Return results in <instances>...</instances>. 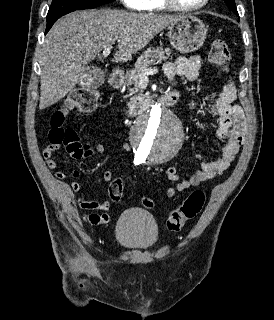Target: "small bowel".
I'll use <instances>...</instances> for the list:
<instances>
[{
    "mask_svg": "<svg viewBox=\"0 0 274 320\" xmlns=\"http://www.w3.org/2000/svg\"><path fill=\"white\" fill-rule=\"evenodd\" d=\"M200 57L193 55L190 57H179L174 62H169L164 66V72L167 78L172 81L176 76L185 77L188 81L194 82L198 79L200 73ZM237 90L232 78H228L223 84L221 90L214 98L210 112L216 116L219 121V127L216 134L209 138L210 141L221 142L223 144L220 155L214 157H207L202 161L201 168L196 170L190 177L181 179L177 168L170 166L165 170L166 177L174 183L169 187L165 196L173 198L177 193L184 192L192 187L206 182L213 177L222 174L230 164L235 160L240 147L242 146L246 131L247 121L242 107L235 103ZM195 108V104H192ZM57 147L62 145L60 140L55 142ZM123 151L129 152L131 147L129 144L122 146ZM43 159H50L47 165L50 169L57 167L56 161L52 158L56 151L55 146H44ZM104 152V146L100 143H92L85 147V150H77L71 152L76 158L83 156L101 155ZM55 176L58 179H63L65 174L63 171H57ZM78 176V172H74V177ZM103 180L105 182H112L114 180L111 171L103 173ZM73 192L77 193V205L90 213L84 215L85 222L91 225H102L110 221V215L105 213L110 208V203L106 200H89L82 190L81 184L73 181L70 184ZM103 212V213H99Z\"/></svg>",
    "mask_w": 274,
    "mask_h": 320,
    "instance_id": "small-bowel-1",
    "label": "small bowel"
}]
</instances>
